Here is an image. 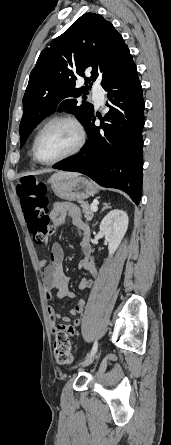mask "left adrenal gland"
I'll list each match as a JSON object with an SVG mask.
<instances>
[{"label":"left adrenal gland","instance_id":"1","mask_svg":"<svg viewBox=\"0 0 171 445\" xmlns=\"http://www.w3.org/2000/svg\"><path fill=\"white\" fill-rule=\"evenodd\" d=\"M107 208H110V206L108 205V204H103V209L102 210H105V209H107Z\"/></svg>","mask_w":171,"mask_h":445}]
</instances>
